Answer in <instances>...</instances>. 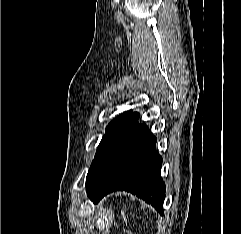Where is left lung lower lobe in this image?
Returning <instances> with one entry per match:
<instances>
[{"instance_id":"left-lung-lower-lobe-1","label":"left lung lower lobe","mask_w":241,"mask_h":234,"mask_svg":"<svg viewBox=\"0 0 241 234\" xmlns=\"http://www.w3.org/2000/svg\"><path fill=\"white\" fill-rule=\"evenodd\" d=\"M139 114L132 113L112 143L87 190L98 202L105 195L125 190L151 204L163 214L165 184L160 170L162 157L155 149L156 137L148 127L138 124Z\"/></svg>"}]
</instances>
